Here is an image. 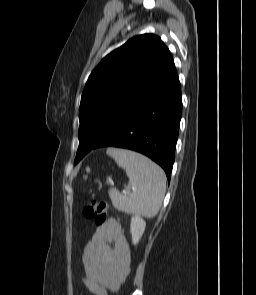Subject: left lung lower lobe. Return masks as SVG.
<instances>
[{
	"instance_id": "left-lung-lower-lobe-1",
	"label": "left lung lower lobe",
	"mask_w": 256,
	"mask_h": 295,
	"mask_svg": "<svg viewBox=\"0 0 256 295\" xmlns=\"http://www.w3.org/2000/svg\"><path fill=\"white\" fill-rule=\"evenodd\" d=\"M181 115V89L176 73L151 97L131 110L92 149L111 146L140 152L164 169L169 182Z\"/></svg>"
}]
</instances>
